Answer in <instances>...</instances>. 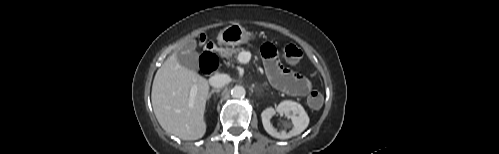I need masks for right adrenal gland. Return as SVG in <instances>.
<instances>
[{"label":"right adrenal gland","mask_w":499,"mask_h":154,"mask_svg":"<svg viewBox=\"0 0 499 154\" xmlns=\"http://www.w3.org/2000/svg\"><path fill=\"white\" fill-rule=\"evenodd\" d=\"M220 92V89H212L209 93H208V96H207V99L209 100L211 95L213 93H219Z\"/></svg>","instance_id":"right-adrenal-gland-1"}]
</instances>
